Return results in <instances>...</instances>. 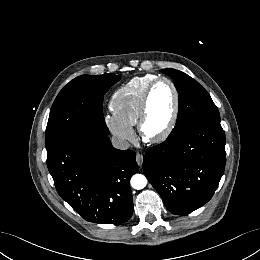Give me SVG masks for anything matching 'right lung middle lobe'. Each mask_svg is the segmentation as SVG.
Returning <instances> with one entry per match:
<instances>
[{
  "label": "right lung middle lobe",
  "instance_id": "1",
  "mask_svg": "<svg viewBox=\"0 0 260 260\" xmlns=\"http://www.w3.org/2000/svg\"><path fill=\"white\" fill-rule=\"evenodd\" d=\"M115 74L82 75L69 82L56 97L46 128L47 156L69 137L85 130L109 134L102 102L108 89L120 80Z\"/></svg>",
  "mask_w": 260,
  "mask_h": 260
}]
</instances>
